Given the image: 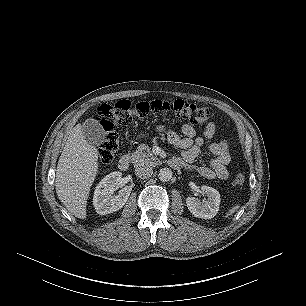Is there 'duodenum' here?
Segmentation results:
<instances>
[{
  "label": "duodenum",
  "mask_w": 306,
  "mask_h": 306,
  "mask_svg": "<svg viewBox=\"0 0 306 306\" xmlns=\"http://www.w3.org/2000/svg\"><path fill=\"white\" fill-rule=\"evenodd\" d=\"M169 164L176 169L181 168V164L177 161L170 160ZM130 165V158L128 154H124L120 157L118 161V168L122 171H125L129 168Z\"/></svg>",
  "instance_id": "1"
}]
</instances>
